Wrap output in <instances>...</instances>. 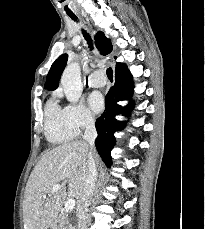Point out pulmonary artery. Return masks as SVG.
<instances>
[{
    "label": "pulmonary artery",
    "instance_id": "e3ab8cb5",
    "mask_svg": "<svg viewBox=\"0 0 205 229\" xmlns=\"http://www.w3.org/2000/svg\"><path fill=\"white\" fill-rule=\"evenodd\" d=\"M88 82L91 87L98 88L105 85L106 79L99 72H94L89 76Z\"/></svg>",
    "mask_w": 205,
    "mask_h": 229
}]
</instances>
